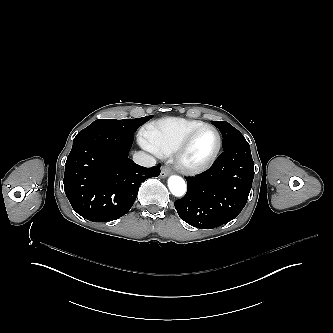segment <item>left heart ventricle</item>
I'll return each instance as SVG.
<instances>
[{"label":"left heart ventricle","instance_id":"1","mask_svg":"<svg viewBox=\"0 0 333 333\" xmlns=\"http://www.w3.org/2000/svg\"><path fill=\"white\" fill-rule=\"evenodd\" d=\"M216 147L217 137L215 132L210 128H205L191 140L185 152L184 161L191 165L205 163L213 155Z\"/></svg>","mask_w":333,"mask_h":333}]
</instances>
